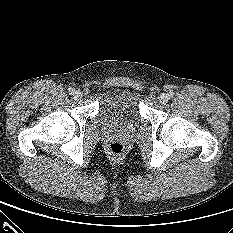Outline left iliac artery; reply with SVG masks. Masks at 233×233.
<instances>
[{
	"instance_id": "obj_1",
	"label": "left iliac artery",
	"mask_w": 233,
	"mask_h": 233,
	"mask_svg": "<svg viewBox=\"0 0 233 233\" xmlns=\"http://www.w3.org/2000/svg\"><path fill=\"white\" fill-rule=\"evenodd\" d=\"M167 95H168L169 98H172L174 96V92L173 91H169Z\"/></svg>"
}]
</instances>
